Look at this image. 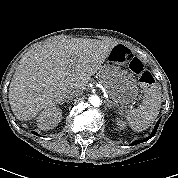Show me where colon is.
I'll use <instances>...</instances> for the list:
<instances>
[{
    "label": "colon",
    "mask_w": 178,
    "mask_h": 178,
    "mask_svg": "<svg viewBox=\"0 0 178 178\" xmlns=\"http://www.w3.org/2000/svg\"><path fill=\"white\" fill-rule=\"evenodd\" d=\"M130 68L137 74L139 82L143 86H150L153 84L154 79L152 75L146 70L144 65L137 58H134L131 61Z\"/></svg>",
    "instance_id": "5ec220e1"
}]
</instances>
